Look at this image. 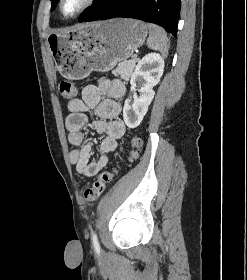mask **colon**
Instances as JSON below:
<instances>
[{"mask_svg": "<svg viewBox=\"0 0 247 280\" xmlns=\"http://www.w3.org/2000/svg\"><path fill=\"white\" fill-rule=\"evenodd\" d=\"M59 90L62 97L66 100H72L77 93L75 84L70 80L61 81L59 84ZM141 145V139L137 136H134L131 140V151L128 158L130 162H133L137 158L138 150L140 149ZM115 173V169L101 172L96 177L92 186L84 190V197L87 200H95L100 197Z\"/></svg>", "mask_w": 247, "mask_h": 280, "instance_id": "colon-1", "label": "colon"}]
</instances>
